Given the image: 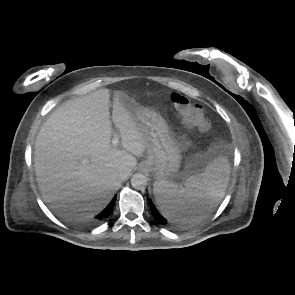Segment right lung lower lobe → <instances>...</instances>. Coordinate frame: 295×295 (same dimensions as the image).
Instances as JSON below:
<instances>
[{"label": "right lung lower lobe", "instance_id": "98d812e1", "mask_svg": "<svg viewBox=\"0 0 295 295\" xmlns=\"http://www.w3.org/2000/svg\"><path fill=\"white\" fill-rule=\"evenodd\" d=\"M114 203H115V199L107 206V208L101 214L96 216L95 219L97 221H101V220L107 218L113 210Z\"/></svg>", "mask_w": 295, "mask_h": 295}]
</instances>
